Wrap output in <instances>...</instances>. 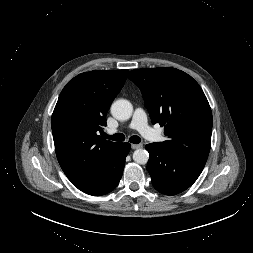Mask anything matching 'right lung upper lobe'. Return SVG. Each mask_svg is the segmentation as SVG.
Wrapping results in <instances>:
<instances>
[{"label":"right lung upper lobe","mask_w":253,"mask_h":253,"mask_svg":"<svg viewBox=\"0 0 253 253\" xmlns=\"http://www.w3.org/2000/svg\"><path fill=\"white\" fill-rule=\"evenodd\" d=\"M128 70H94L70 80L58 98L51 119L58 162L80 188L90 183L118 143L98 135L106 114L122 89Z\"/></svg>","instance_id":"1"}]
</instances>
